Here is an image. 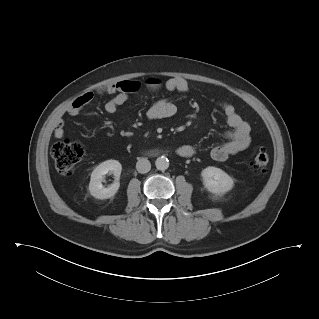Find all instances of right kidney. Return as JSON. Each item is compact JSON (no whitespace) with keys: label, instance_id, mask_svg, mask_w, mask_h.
Wrapping results in <instances>:
<instances>
[{"label":"right kidney","instance_id":"obj_1","mask_svg":"<svg viewBox=\"0 0 319 319\" xmlns=\"http://www.w3.org/2000/svg\"><path fill=\"white\" fill-rule=\"evenodd\" d=\"M122 165L117 160H107L99 164L91 174L89 183L90 194L97 199H108L114 196L120 186L119 178L121 175ZM113 173L115 182L108 188L102 185L104 175Z\"/></svg>","mask_w":319,"mask_h":319}]
</instances>
